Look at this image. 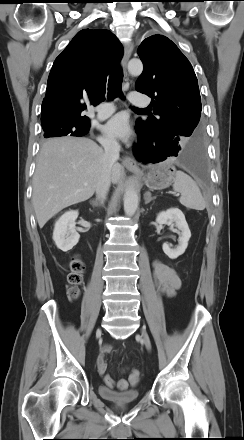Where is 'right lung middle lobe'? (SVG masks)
I'll return each instance as SVG.
<instances>
[{
  "instance_id": "obj_1",
  "label": "right lung middle lobe",
  "mask_w": 244,
  "mask_h": 440,
  "mask_svg": "<svg viewBox=\"0 0 244 440\" xmlns=\"http://www.w3.org/2000/svg\"><path fill=\"white\" fill-rule=\"evenodd\" d=\"M44 130V137H59V136H83L89 131V124L74 125L63 121H46L42 123Z\"/></svg>"
}]
</instances>
